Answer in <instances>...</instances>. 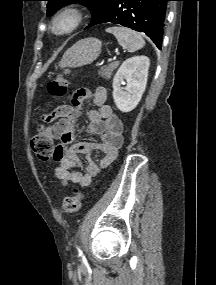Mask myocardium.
Masks as SVG:
<instances>
[{
    "label": "myocardium",
    "mask_w": 216,
    "mask_h": 285,
    "mask_svg": "<svg viewBox=\"0 0 216 285\" xmlns=\"http://www.w3.org/2000/svg\"><path fill=\"white\" fill-rule=\"evenodd\" d=\"M68 21V25L60 29L59 25ZM84 12L76 6H67L59 10L52 18L50 30L53 35L65 38L73 34L83 23Z\"/></svg>",
    "instance_id": "1"
}]
</instances>
